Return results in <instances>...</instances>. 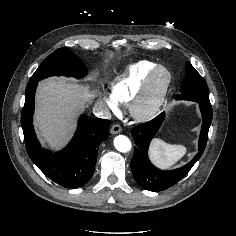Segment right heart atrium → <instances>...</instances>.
Returning <instances> with one entry per match:
<instances>
[{
	"instance_id": "d8ad5b80",
	"label": "right heart atrium",
	"mask_w": 236,
	"mask_h": 236,
	"mask_svg": "<svg viewBox=\"0 0 236 236\" xmlns=\"http://www.w3.org/2000/svg\"><path fill=\"white\" fill-rule=\"evenodd\" d=\"M103 100L111 111H116L118 106L116 100L110 94H105Z\"/></svg>"
}]
</instances>
